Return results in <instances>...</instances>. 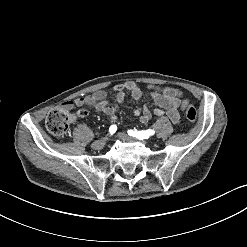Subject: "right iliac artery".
Wrapping results in <instances>:
<instances>
[{
    "label": "right iliac artery",
    "mask_w": 247,
    "mask_h": 247,
    "mask_svg": "<svg viewBox=\"0 0 247 247\" xmlns=\"http://www.w3.org/2000/svg\"><path fill=\"white\" fill-rule=\"evenodd\" d=\"M117 130V126L116 125H111L110 128H109V132L110 134H114Z\"/></svg>",
    "instance_id": "82829eb1"
}]
</instances>
